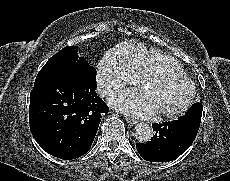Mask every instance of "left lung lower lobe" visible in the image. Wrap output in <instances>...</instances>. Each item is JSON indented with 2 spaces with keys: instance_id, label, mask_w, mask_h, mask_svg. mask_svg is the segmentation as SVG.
<instances>
[{
  "instance_id": "obj_1",
  "label": "left lung lower lobe",
  "mask_w": 230,
  "mask_h": 181,
  "mask_svg": "<svg viewBox=\"0 0 230 181\" xmlns=\"http://www.w3.org/2000/svg\"><path fill=\"white\" fill-rule=\"evenodd\" d=\"M202 103H195L178 120L152 125L154 136L147 144H136L141 157L150 162L172 161L193 143L202 116Z\"/></svg>"
}]
</instances>
